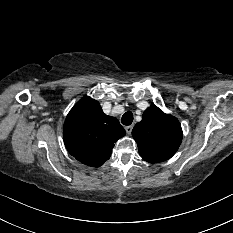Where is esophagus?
Returning <instances> with one entry per match:
<instances>
[{
	"instance_id": "34e87169",
	"label": "esophagus",
	"mask_w": 233,
	"mask_h": 233,
	"mask_svg": "<svg viewBox=\"0 0 233 233\" xmlns=\"http://www.w3.org/2000/svg\"><path fill=\"white\" fill-rule=\"evenodd\" d=\"M132 129H133V126H132V125H129V126H126V127H125V130H126L127 134H131Z\"/></svg>"
}]
</instances>
